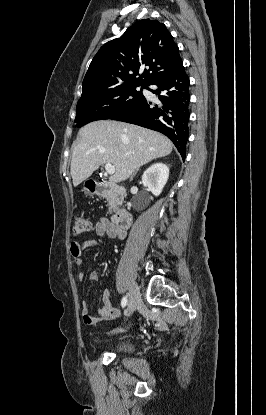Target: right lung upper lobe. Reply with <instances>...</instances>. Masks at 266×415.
<instances>
[{"mask_svg":"<svg viewBox=\"0 0 266 415\" xmlns=\"http://www.w3.org/2000/svg\"><path fill=\"white\" fill-rule=\"evenodd\" d=\"M182 65L179 48L166 26L157 20H139L97 52L80 99L124 85L146 87Z\"/></svg>","mask_w":266,"mask_h":415,"instance_id":"cb5924a9","label":"right lung upper lobe"}]
</instances>
